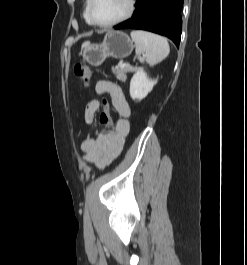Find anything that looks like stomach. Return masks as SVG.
Wrapping results in <instances>:
<instances>
[{
    "instance_id": "stomach-1",
    "label": "stomach",
    "mask_w": 247,
    "mask_h": 265,
    "mask_svg": "<svg viewBox=\"0 0 247 265\" xmlns=\"http://www.w3.org/2000/svg\"><path fill=\"white\" fill-rule=\"evenodd\" d=\"M134 49L130 37L120 31L108 32L101 44L86 42L82 45L83 58L93 66H100L106 58L123 59Z\"/></svg>"
}]
</instances>
